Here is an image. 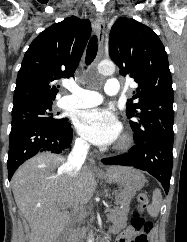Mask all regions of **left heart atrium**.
Returning a JSON list of instances; mask_svg holds the SVG:
<instances>
[{"label":"left heart atrium","instance_id":"left-heart-atrium-1","mask_svg":"<svg viewBox=\"0 0 187 242\" xmlns=\"http://www.w3.org/2000/svg\"><path fill=\"white\" fill-rule=\"evenodd\" d=\"M76 127L79 133L96 145H110L121 133V124L109 109L92 108L77 115Z\"/></svg>","mask_w":187,"mask_h":242}]
</instances>
